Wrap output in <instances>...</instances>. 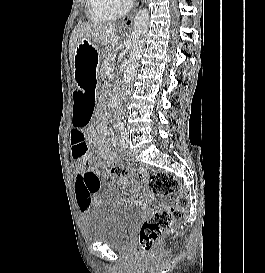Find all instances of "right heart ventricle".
Segmentation results:
<instances>
[{"label":"right heart ventricle","instance_id":"obj_1","mask_svg":"<svg viewBox=\"0 0 265 273\" xmlns=\"http://www.w3.org/2000/svg\"><path fill=\"white\" fill-rule=\"evenodd\" d=\"M88 15L93 21H107L114 19L118 12L108 5L107 0H89Z\"/></svg>","mask_w":265,"mask_h":273}]
</instances>
